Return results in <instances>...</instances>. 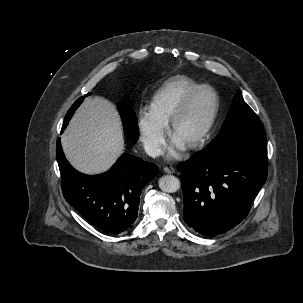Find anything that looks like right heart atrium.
<instances>
[{
	"instance_id": "right-heart-atrium-1",
	"label": "right heart atrium",
	"mask_w": 303,
	"mask_h": 303,
	"mask_svg": "<svg viewBox=\"0 0 303 303\" xmlns=\"http://www.w3.org/2000/svg\"><path fill=\"white\" fill-rule=\"evenodd\" d=\"M138 129L141 141L151 156L161 154L165 144L166 127L151 114L150 111L142 109L138 113Z\"/></svg>"
}]
</instances>
